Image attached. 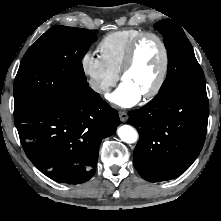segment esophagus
<instances>
[{
  "instance_id": "esophagus-1",
  "label": "esophagus",
  "mask_w": 221,
  "mask_h": 221,
  "mask_svg": "<svg viewBox=\"0 0 221 221\" xmlns=\"http://www.w3.org/2000/svg\"><path fill=\"white\" fill-rule=\"evenodd\" d=\"M119 117L122 122H126L128 119V114L126 112L120 111Z\"/></svg>"
}]
</instances>
